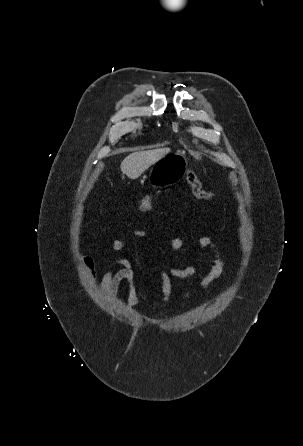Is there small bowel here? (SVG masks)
I'll list each match as a JSON object with an SVG mask.
<instances>
[{
  "label": "small bowel",
  "mask_w": 303,
  "mask_h": 446,
  "mask_svg": "<svg viewBox=\"0 0 303 446\" xmlns=\"http://www.w3.org/2000/svg\"><path fill=\"white\" fill-rule=\"evenodd\" d=\"M149 235L150 233L146 230H134L132 232V236L138 241L115 239L112 242V248L115 251H123L127 249L144 247L139 240H143ZM184 245V239L176 237L171 241L170 248L173 253H178L184 248ZM95 246L96 244L94 243L89 244L82 253V264L90 281H94L96 277L95 262L89 253ZM207 249H210L215 253L216 261L208 274L201 281V286L203 288H209L221 276L225 267V258L221 248L215 244L210 237H200L196 243V252L198 254H202ZM196 269L195 264L189 265L185 268L172 265L167 269L162 266H158L163 301L168 302L170 300V295L173 290V279L180 282L185 281L195 274ZM123 282H126L128 285L126 307L129 312H132L139 302L134 281L133 264L129 259L119 258L112 263L109 270L104 274L101 281V291L106 297L113 300L117 294L119 286ZM184 292L188 298L191 297V293L187 288H184Z\"/></svg>",
  "instance_id": "1"
}]
</instances>
